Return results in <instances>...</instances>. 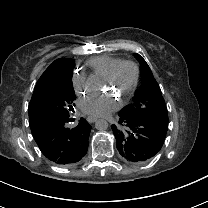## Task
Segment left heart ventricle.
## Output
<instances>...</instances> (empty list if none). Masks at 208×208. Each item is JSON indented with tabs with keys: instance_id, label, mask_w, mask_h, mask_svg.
Here are the masks:
<instances>
[{
	"instance_id": "left-heart-ventricle-1",
	"label": "left heart ventricle",
	"mask_w": 208,
	"mask_h": 208,
	"mask_svg": "<svg viewBox=\"0 0 208 208\" xmlns=\"http://www.w3.org/2000/svg\"><path fill=\"white\" fill-rule=\"evenodd\" d=\"M132 78H133V70H132V68L130 66H123L119 70L113 85H115L118 88V90L120 91V93L122 95H124L126 90H127V88H128V86H129V84L132 81ZM101 85H104L102 79L98 82L96 88L92 91L91 96L93 98H98L97 94H96V91L98 90V88Z\"/></svg>"
}]
</instances>
